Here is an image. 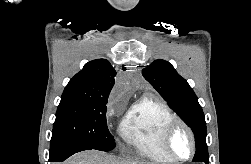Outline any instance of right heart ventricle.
Wrapping results in <instances>:
<instances>
[{
  "label": "right heart ventricle",
  "instance_id": "1",
  "mask_svg": "<svg viewBox=\"0 0 251 164\" xmlns=\"http://www.w3.org/2000/svg\"><path fill=\"white\" fill-rule=\"evenodd\" d=\"M176 118L164 102L144 97L125 114L119 128L122 139L136 151L155 162H173L163 151L161 135L169 121Z\"/></svg>",
  "mask_w": 251,
  "mask_h": 164
}]
</instances>
